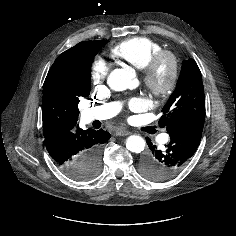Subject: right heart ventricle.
Returning <instances> with one entry per match:
<instances>
[{
    "label": "right heart ventricle",
    "mask_w": 236,
    "mask_h": 236,
    "mask_svg": "<svg viewBox=\"0 0 236 236\" xmlns=\"http://www.w3.org/2000/svg\"><path fill=\"white\" fill-rule=\"evenodd\" d=\"M162 45L148 37L137 36L126 39L110 50L113 58L125 61L137 69H142L159 51Z\"/></svg>",
    "instance_id": "right-heart-ventricle-1"
}]
</instances>
